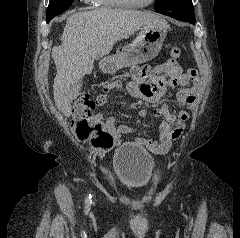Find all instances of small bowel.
<instances>
[{
  "mask_svg": "<svg viewBox=\"0 0 240 238\" xmlns=\"http://www.w3.org/2000/svg\"><path fill=\"white\" fill-rule=\"evenodd\" d=\"M134 76L136 80L127 85L129 93L135 97L155 102L160 100L166 93L168 88L180 86L181 89L177 93V103L180 107L185 105H194L199 90V78L194 69L182 70L177 61L169 59L155 67H147L143 70L135 69ZM119 85L117 83H107L103 86L102 93L99 94L95 103L97 106H102L106 103L108 96ZM140 117L148 115L147 108L139 110ZM155 116L163 118V122L159 127V138L152 139H137V143L146 149L164 154L171 147L172 141L178 139L184 129V122L189 118V113L181 109L177 115L171 113L166 104L154 111ZM94 122H101L103 115L97 113L91 117ZM106 130L112 135V144L105 150L111 149L113 146L119 145L122 142V136L134 131L133 128L119 124L115 117H109L105 121Z\"/></svg>",
  "mask_w": 240,
  "mask_h": 238,
  "instance_id": "small-bowel-1",
  "label": "small bowel"
}]
</instances>
